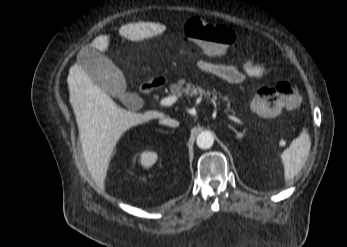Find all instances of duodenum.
<instances>
[{"label":"duodenum","mask_w":347,"mask_h":247,"mask_svg":"<svg viewBox=\"0 0 347 247\" xmlns=\"http://www.w3.org/2000/svg\"><path fill=\"white\" fill-rule=\"evenodd\" d=\"M162 84H163V81L160 79L151 80V81L143 83L140 86V90L144 94H149L156 88L162 86Z\"/></svg>","instance_id":"duodenum-1"}]
</instances>
